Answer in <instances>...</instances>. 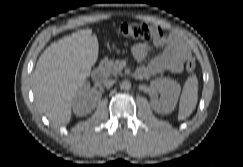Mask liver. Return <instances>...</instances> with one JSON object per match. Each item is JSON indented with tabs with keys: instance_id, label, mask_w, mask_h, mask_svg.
Returning a JSON list of instances; mask_svg holds the SVG:
<instances>
[{
	"instance_id": "6515ba94",
	"label": "liver",
	"mask_w": 243,
	"mask_h": 167,
	"mask_svg": "<svg viewBox=\"0 0 243 167\" xmlns=\"http://www.w3.org/2000/svg\"><path fill=\"white\" fill-rule=\"evenodd\" d=\"M98 40L91 29L80 30L52 43L34 71L37 107L57 125L71 119V104L98 59Z\"/></svg>"
}]
</instances>
